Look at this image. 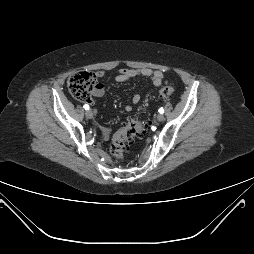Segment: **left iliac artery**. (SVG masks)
Masks as SVG:
<instances>
[{
    "label": "left iliac artery",
    "mask_w": 254,
    "mask_h": 254,
    "mask_svg": "<svg viewBox=\"0 0 254 254\" xmlns=\"http://www.w3.org/2000/svg\"><path fill=\"white\" fill-rule=\"evenodd\" d=\"M159 112L162 114V113H164V109L161 107L160 109H159Z\"/></svg>",
    "instance_id": "1"
}]
</instances>
